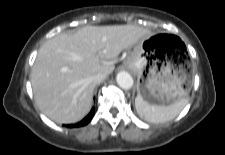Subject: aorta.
I'll list each match as a JSON object with an SVG mask.
<instances>
[{
    "mask_svg": "<svg viewBox=\"0 0 225 155\" xmlns=\"http://www.w3.org/2000/svg\"><path fill=\"white\" fill-rule=\"evenodd\" d=\"M116 81L122 89H130L133 86V78L126 71L119 72L116 76Z\"/></svg>",
    "mask_w": 225,
    "mask_h": 155,
    "instance_id": "1",
    "label": "aorta"
}]
</instances>
